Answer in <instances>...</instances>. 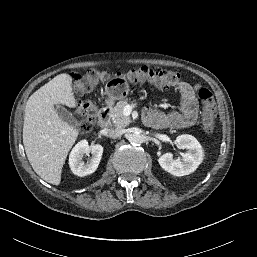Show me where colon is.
<instances>
[{
    "mask_svg": "<svg viewBox=\"0 0 257 257\" xmlns=\"http://www.w3.org/2000/svg\"><path fill=\"white\" fill-rule=\"evenodd\" d=\"M126 79L132 84L148 83L156 87L176 86L181 82V75L174 70L141 67L128 71L125 75L111 74L107 71L95 69L84 73H75L74 91L78 95L92 92L99 83L109 82L116 79ZM202 107V128L205 133L212 134L215 129L216 103L213 93L207 88L198 91ZM77 113L82 117L79 125L81 132L89 131L97 117L98 109L90 102H81L77 107Z\"/></svg>",
    "mask_w": 257,
    "mask_h": 257,
    "instance_id": "1",
    "label": "colon"
}]
</instances>
